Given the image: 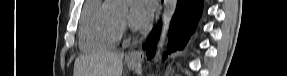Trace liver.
Masks as SVG:
<instances>
[{
    "mask_svg": "<svg viewBox=\"0 0 287 76\" xmlns=\"http://www.w3.org/2000/svg\"><path fill=\"white\" fill-rule=\"evenodd\" d=\"M123 53L100 51L75 61V76H121Z\"/></svg>",
    "mask_w": 287,
    "mask_h": 76,
    "instance_id": "liver-1",
    "label": "liver"
}]
</instances>
